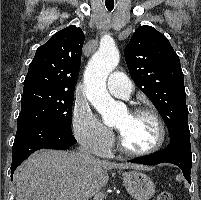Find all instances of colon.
<instances>
[{
    "instance_id": "1",
    "label": "colon",
    "mask_w": 201,
    "mask_h": 200,
    "mask_svg": "<svg viewBox=\"0 0 201 200\" xmlns=\"http://www.w3.org/2000/svg\"><path fill=\"white\" fill-rule=\"evenodd\" d=\"M156 200H174L170 192L161 191L158 193Z\"/></svg>"
}]
</instances>
